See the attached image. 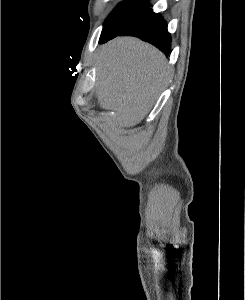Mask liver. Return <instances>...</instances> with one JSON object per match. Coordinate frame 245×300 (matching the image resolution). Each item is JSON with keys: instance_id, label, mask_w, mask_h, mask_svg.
Instances as JSON below:
<instances>
[{"instance_id": "liver-1", "label": "liver", "mask_w": 245, "mask_h": 300, "mask_svg": "<svg viewBox=\"0 0 245 300\" xmlns=\"http://www.w3.org/2000/svg\"><path fill=\"white\" fill-rule=\"evenodd\" d=\"M168 76L165 56L134 37H117L103 46L98 61L97 99L115 111L121 127L139 124L151 110Z\"/></svg>"}]
</instances>
